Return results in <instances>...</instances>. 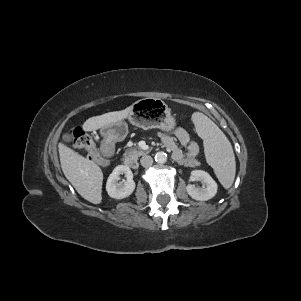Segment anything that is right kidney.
Returning a JSON list of instances; mask_svg holds the SVG:
<instances>
[{
	"instance_id": "right-kidney-1",
	"label": "right kidney",
	"mask_w": 301,
	"mask_h": 301,
	"mask_svg": "<svg viewBox=\"0 0 301 301\" xmlns=\"http://www.w3.org/2000/svg\"><path fill=\"white\" fill-rule=\"evenodd\" d=\"M121 174L126 177L124 183L118 182ZM135 186L131 169L126 165H118L108 177L106 191L111 198L123 199L133 193Z\"/></svg>"
}]
</instances>
